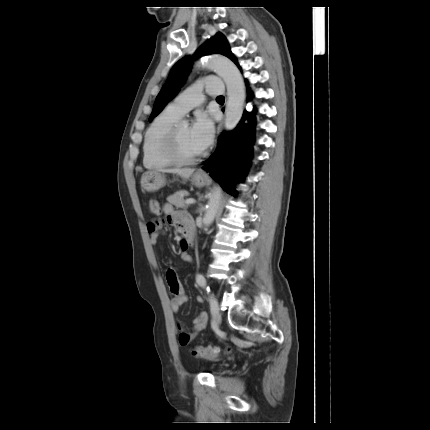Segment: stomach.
<instances>
[{
  "mask_svg": "<svg viewBox=\"0 0 430 430\" xmlns=\"http://www.w3.org/2000/svg\"><path fill=\"white\" fill-rule=\"evenodd\" d=\"M207 181V177L196 172L192 177V182L195 186H204ZM165 183L164 174L158 171L146 172L141 177V186L147 192H155L159 190Z\"/></svg>",
  "mask_w": 430,
  "mask_h": 430,
  "instance_id": "0dacf381",
  "label": "stomach"
}]
</instances>
